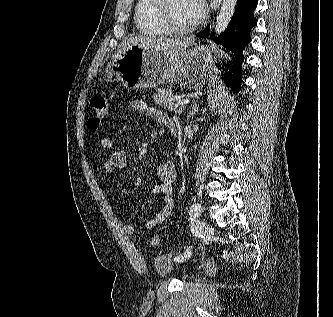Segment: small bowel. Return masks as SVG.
<instances>
[{
    "label": "small bowel",
    "mask_w": 333,
    "mask_h": 317,
    "mask_svg": "<svg viewBox=\"0 0 333 317\" xmlns=\"http://www.w3.org/2000/svg\"><path fill=\"white\" fill-rule=\"evenodd\" d=\"M131 108L137 112L146 114L164 125H168L171 119L162 111L148 106V104L141 99H134L131 101ZM100 145L102 148L110 151L107 160L102 166V173L104 176H111L116 170L122 169L127 164L128 156L126 150L119 148L114 140L109 137H101ZM157 176L159 182L152 188L153 195L163 196V205L160 211L147 220L142 228L143 231L150 230L158 224L165 221L172 213L174 208V201L172 198L174 183L176 181L177 172L174 163L171 160L162 162L157 167ZM122 229L126 234L133 235L139 230L131 224H123Z\"/></svg>",
    "instance_id": "c3829d8e"
}]
</instances>
